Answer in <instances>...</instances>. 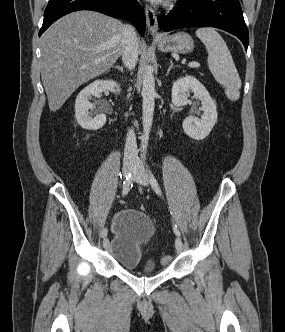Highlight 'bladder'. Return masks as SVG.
Masks as SVG:
<instances>
[{
	"mask_svg": "<svg viewBox=\"0 0 285 332\" xmlns=\"http://www.w3.org/2000/svg\"><path fill=\"white\" fill-rule=\"evenodd\" d=\"M155 234V224L146 214L136 209H125L113 221L110 251L126 269L136 270L141 267L143 274H152L156 270L155 261L149 259L143 263V259L144 247Z\"/></svg>",
	"mask_w": 285,
	"mask_h": 332,
	"instance_id": "1",
	"label": "bladder"
}]
</instances>
